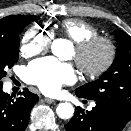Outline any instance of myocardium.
<instances>
[{"label":"myocardium","instance_id":"f54148a6","mask_svg":"<svg viewBox=\"0 0 131 131\" xmlns=\"http://www.w3.org/2000/svg\"><path fill=\"white\" fill-rule=\"evenodd\" d=\"M103 46L106 50L104 61L97 67L85 65L84 57L95 46ZM117 54L115 43L108 37L96 35L75 43V61L80 71L88 77H99L113 65Z\"/></svg>","mask_w":131,"mask_h":131}]
</instances>
